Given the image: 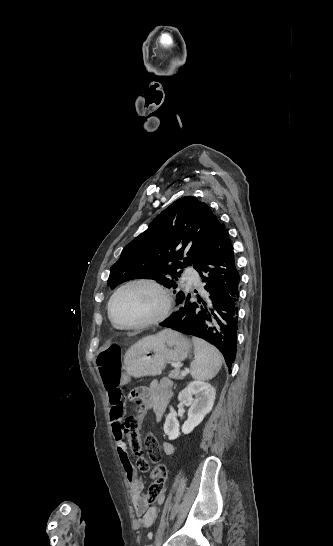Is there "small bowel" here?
Here are the masks:
<instances>
[{
    "mask_svg": "<svg viewBox=\"0 0 333 546\" xmlns=\"http://www.w3.org/2000/svg\"><path fill=\"white\" fill-rule=\"evenodd\" d=\"M128 370L121 372L120 386L127 387L128 380H130ZM173 395V383L168 378L156 380L151 383L149 387H144L139 390V397L146 403L150 410L154 413L157 421H160L163 417L167 406ZM109 401L111 404L110 409V422L113 437L116 441L117 452L120 463L123 467L126 479L129 484L131 500L137 516V524L142 527H151L156 519L158 509L156 506H148L143 494L144 485L139 477L137 471L130 461L126 443L124 441V428H123V416L124 406L121 402H112L111 395L109 393ZM174 445L168 441L164 443V451L167 454L174 453ZM150 478L154 480V472L150 473Z\"/></svg>",
    "mask_w": 333,
    "mask_h": 546,
    "instance_id": "small-bowel-1",
    "label": "small bowel"
}]
</instances>
